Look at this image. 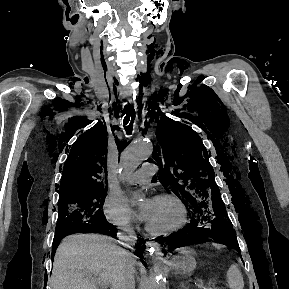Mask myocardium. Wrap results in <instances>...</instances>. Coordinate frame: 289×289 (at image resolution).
Returning <instances> with one entry per match:
<instances>
[{
  "mask_svg": "<svg viewBox=\"0 0 289 289\" xmlns=\"http://www.w3.org/2000/svg\"><path fill=\"white\" fill-rule=\"evenodd\" d=\"M157 200H170L174 202L181 210L182 218L178 225L165 229V230H155L151 228L147 223L145 224V230L154 236H167L173 234L181 229H183L188 222V210L185 203L176 195L169 193H162L156 196Z\"/></svg>",
  "mask_w": 289,
  "mask_h": 289,
  "instance_id": "myocardium-1",
  "label": "myocardium"
}]
</instances>
